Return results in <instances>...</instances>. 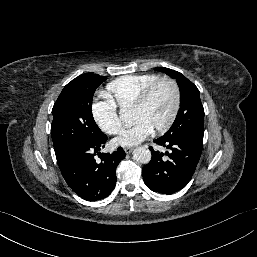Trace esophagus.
<instances>
[{
    "label": "esophagus",
    "instance_id": "obj_1",
    "mask_svg": "<svg viewBox=\"0 0 257 257\" xmlns=\"http://www.w3.org/2000/svg\"><path fill=\"white\" fill-rule=\"evenodd\" d=\"M124 151L126 154H130L132 152V148L126 147V148H124Z\"/></svg>",
    "mask_w": 257,
    "mask_h": 257
}]
</instances>
